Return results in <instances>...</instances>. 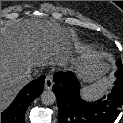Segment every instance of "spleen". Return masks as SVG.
I'll use <instances>...</instances> for the list:
<instances>
[{
	"label": "spleen",
	"instance_id": "spleen-1",
	"mask_svg": "<svg viewBox=\"0 0 123 123\" xmlns=\"http://www.w3.org/2000/svg\"><path fill=\"white\" fill-rule=\"evenodd\" d=\"M112 77H103L96 83L82 90V97L86 100H95L101 97L112 86Z\"/></svg>",
	"mask_w": 123,
	"mask_h": 123
}]
</instances>
